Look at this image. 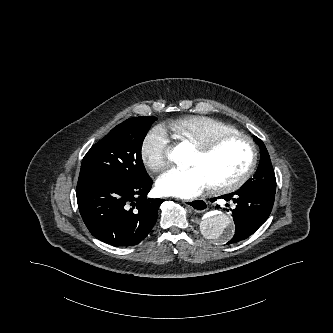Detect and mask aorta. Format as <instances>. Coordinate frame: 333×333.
<instances>
[{"label": "aorta", "mask_w": 333, "mask_h": 333, "mask_svg": "<svg viewBox=\"0 0 333 333\" xmlns=\"http://www.w3.org/2000/svg\"><path fill=\"white\" fill-rule=\"evenodd\" d=\"M189 150L182 146L176 147L170 158L181 167L190 166ZM202 232L205 237L216 242H224L234 233L231 217L220 211H213L202 221Z\"/></svg>", "instance_id": "aorta-1"}]
</instances>
